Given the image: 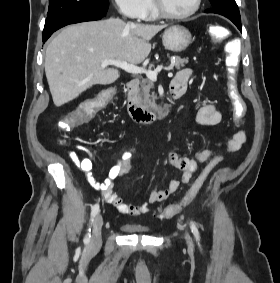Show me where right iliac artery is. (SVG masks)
<instances>
[{"mask_svg":"<svg viewBox=\"0 0 280 283\" xmlns=\"http://www.w3.org/2000/svg\"><path fill=\"white\" fill-rule=\"evenodd\" d=\"M98 212H99V205L95 204L91 209V221H93L94 217L98 214ZM88 231L90 232L91 229L89 228ZM89 232L84 239L85 243H88L90 241V233Z\"/></svg>","mask_w":280,"mask_h":283,"instance_id":"1","label":"right iliac artery"}]
</instances>
